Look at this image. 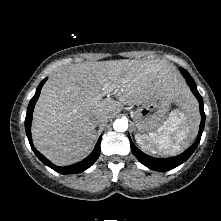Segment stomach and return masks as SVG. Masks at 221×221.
Masks as SVG:
<instances>
[{
  "label": "stomach",
  "mask_w": 221,
  "mask_h": 221,
  "mask_svg": "<svg viewBox=\"0 0 221 221\" xmlns=\"http://www.w3.org/2000/svg\"><path fill=\"white\" fill-rule=\"evenodd\" d=\"M173 99L167 94L155 95L145 101L134 113V123L137 134H155L168 118Z\"/></svg>",
  "instance_id": "1"
}]
</instances>
